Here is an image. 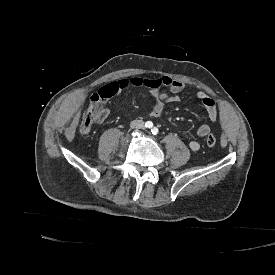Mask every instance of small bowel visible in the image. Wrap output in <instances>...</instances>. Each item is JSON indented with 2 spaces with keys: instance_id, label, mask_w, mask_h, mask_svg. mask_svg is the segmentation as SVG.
<instances>
[{
  "instance_id": "1",
  "label": "small bowel",
  "mask_w": 275,
  "mask_h": 275,
  "mask_svg": "<svg viewBox=\"0 0 275 275\" xmlns=\"http://www.w3.org/2000/svg\"><path fill=\"white\" fill-rule=\"evenodd\" d=\"M155 81H159V84H154ZM128 85L134 87H145L149 90L154 99V105L151 110L152 117H159L163 113L166 103L178 102L180 100V93L184 90V84L181 81L168 77H164L162 80H147L133 77L129 81L126 79H120L105 84L92 95V101L99 100L101 96L107 94L109 91H116L119 93ZM196 98L204 106L209 120L215 122L218 118V107L216 101L203 91H198L196 93ZM81 123H83V120ZM210 131L211 128L208 124H202L197 129V135L199 137H206L209 135ZM189 146L191 149L197 150L199 144L197 141H191Z\"/></svg>"
}]
</instances>
